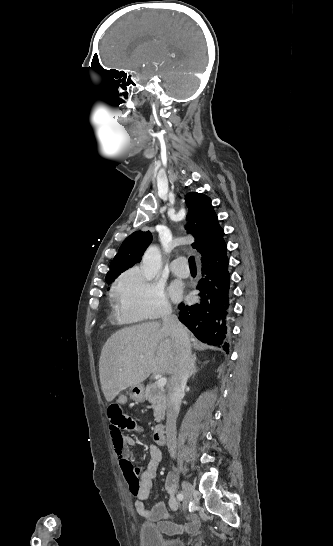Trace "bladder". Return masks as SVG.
<instances>
[{"instance_id": "obj_1", "label": "bladder", "mask_w": 333, "mask_h": 546, "mask_svg": "<svg viewBox=\"0 0 333 546\" xmlns=\"http://www.w3.org/2000/svg\"><path fill=\"white\" fill-rule=\"evenodd\" d=\"M139 535L142 546H186L182 538L163 537L159 525L155 523H143L140 526Z\"/></svg>"}]
</instances>
